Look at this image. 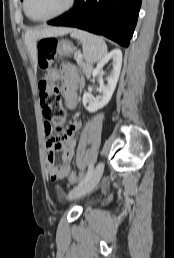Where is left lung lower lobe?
Instances as JSON below:
<instances>
[{"instance_id":"obj_1","label":"left lung lower lobe","mask_w":174,"mask_h":258,"mask_svg":"<svg viewBox=\"0 0 174 258\" xmlns=\"http://www.w3.org/2000/svg\"><path fill=\"white\" fill-rule=\"evenodd\" d=\"M142 0H76L75 6L48 22L54 26L76 27L103 35L128 47Z\"/></svg>"}]
</instances>
